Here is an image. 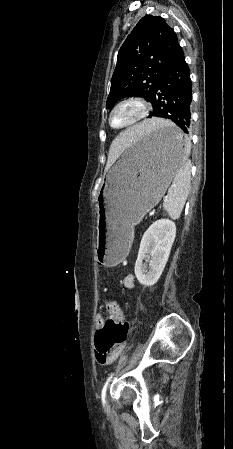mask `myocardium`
Wrapping results in <instances>:
<instances>
[{
  "label": "myocardium",
  "instance_id": "obj_1",
  "mask_svg": "<svg viewBox=\"0 0 233 449\" xmlns=\"http://www.w3.org/2000/svg\"><path fill=\"white\" fill-rule=\"evenodd\" d=\"M129 104H134V105H136L138 107V111H137L136 116L131 121H129L128 123H126L124 125H121V126L113 125V123H112V116H113L114 112L118 108H120V107H122L124 105H129ZM149 108H150V106H149L148 102L145 99L141 98V97H126V98H123V99L119 100L118 102H116L112 106V108H111V110L109 112V116H108L109 125L113 129H125V128L132 127V126L136 125L137 123H139L141 120H143L146 117V115L148 114Z\"/></svg>",
  "mask_w": 233,
  "mask_h": 449
}]
</instances>
